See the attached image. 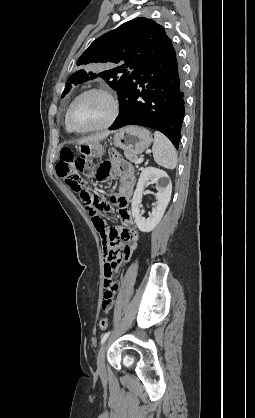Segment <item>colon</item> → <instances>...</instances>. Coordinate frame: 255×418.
<instances>
[{
  "label": "colon",
  "instance_id": "colon-1",
  "mask_svg": "<svg viewBox=\"0 0 255 418\" xmlns=\"http://www.w3.org/2000/svg\"><path fill=\"white\" fill-rule=\"evenodd\" d=\"M57 173L65 179L67 185L80 192L81 201L86 205L91 217L94 219L99 231L107 228L103 219L99 216L100 208L105 207L103 200L94 192L84 189L85 180L95 173V165L84 157L77 156L73 149L64 147L60 151L59 161L56 166ZM129 228H132L131 226ZM102 330L108 327V319L102 317L99 321Z\"/></svg>",
  "mask_w": 255,
  "mask_h": 418
}]
</instances>
